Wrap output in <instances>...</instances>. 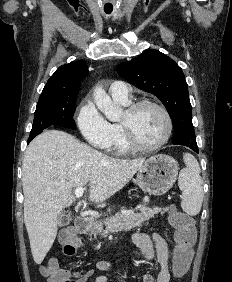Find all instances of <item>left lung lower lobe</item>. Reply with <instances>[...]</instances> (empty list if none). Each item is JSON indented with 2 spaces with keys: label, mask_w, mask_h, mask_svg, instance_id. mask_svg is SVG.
I'll list each match as a JSON object with an SVG mask.
<instances>
[{
  "label": "left lung lower lobe",
  "mask_w": 232,
  "mask_h": 282,
  "mask_svg": "<svg viewBox=\"0 0 232 282\" xmlns=\"http://www.w3.org/2000/svg\"><path fill=\"white\" fill-rule=\"evenodd\" d=\"M173 144H178V145H184V146H189V148H191L192 150H194L196 153H198V147H197V144L195 145H185V144H182V142L178 141L177 139H173Z\"/></svg>",
  "instance_id": "0a47b994"
}]
</instances>
